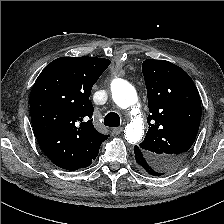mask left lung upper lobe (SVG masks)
Instances as JSON below:
<instances>
[{
	"label": "left lung upper lobe",
	"instance_id": "5c2ea615",
	"mask_svg": "<svg viewBox=\"0 0 224 224\" xmlns=\"http://www.w3.org/2000/svg\"><path fill=\"white\" fill-rule=\"evenodd\" d=\"M149 129L138 149L157 176L176 170L193 145L201 120V101L191 77L165 60H145Z\"/></svg>",
	"mask_w": 224,
	"mask_h": 224
}]
</instances>
